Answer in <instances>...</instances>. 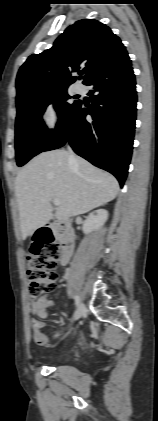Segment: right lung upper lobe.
<instances>
[{
  "instance_id": "cb5924a9",
  "label": "right lung upper lobe",
  "mask_w": 158,
  "mask_h": 421,
  "mask_svg": "<svg viewBox=\"0 0 158 421\" xmlns=\"http://www.w3.org/2000/svg\"><path fill=\"white\" fill-rule=\"evenodd\" d=\"M124 52L125 46L108 26L94 19L79 20L69 26L50 49L29 56L21 66L16 79V103L67 89L76 80L71 73L78 70L85 84Z\"/></svg>"
}]
</instances>
